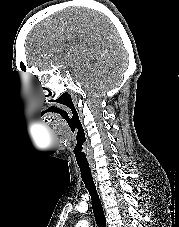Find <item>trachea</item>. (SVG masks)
I'll use <instances>...</instances> for the list:
<instances>
[{
    "label": "trachea",
    "mask_w": 179,
    "mask_h": 227,
    "mask_svg": "<svg viewBox=\"0 0 179 227\" xmlns=\"http://www.w3.org/2000/svg\"><path fill=\"white\" fill-rule=\"evenodd\" d=\"M76 163L79 166L81 172V178L85 184L86 189L89 191L92 201V209L95 217V221L98 227H106V219L103 211V207L96 190V186L93 182L90 167L88 164L87 154L85 150H75Z\"/></svg>",
    "instance_id": "trachea-1"
}]
</instances>
